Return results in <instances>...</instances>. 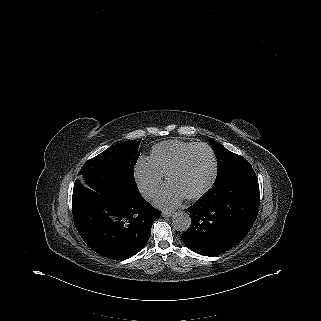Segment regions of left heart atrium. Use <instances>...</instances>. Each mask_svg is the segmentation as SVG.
<instances>
[{
    "instance_id": "39dd6f15",
    "label": "left heart atrium",
    "mask_w": 321,
    "mask_h": 321,
    "mask_svg": "<svg viewBox=\"0 0 321 321\" xmlns=\"http://www.w3.org/2000/svg\"><path fill=\"white\" fill-rule=\"evenodd\" d=\"M183 198L184 194L171 185L161 191L156 198V204L164 209L175 208L180 205Z\"/></svg>"
}]
</instances>
